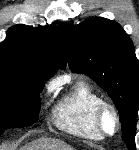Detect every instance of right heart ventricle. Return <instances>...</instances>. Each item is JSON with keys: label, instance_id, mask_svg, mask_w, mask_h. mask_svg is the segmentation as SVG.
I'll list each match as a JSON object with an SVG mask.
<instances>
[{"label": "right heart ventricle", "instance_id": "1", "mask_svg": "<svg viewBox=\"0 0 139 150\" xmlns=\"http://www.w3.org/2000/svg\"><path fill=\"white\" fill-rule=\"evenodd\" d=\"M101 96L85 81H78L55 107L54 124L63 131L91 140L103 136L94 124V111Z\"/></svg>", "mask_w": 139, "mask_h": 150}]
</instances>
